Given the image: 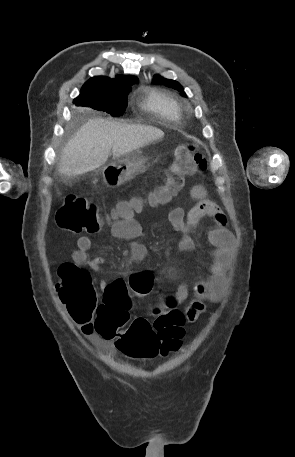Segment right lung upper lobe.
<instances>
[{
    "label": "right lung upper lobe",
    "mask_w": 295,
    "mask_h": 457,
    "mask_svg": "<svg viewBox=\"0 0 295 457\" xmlns=\"http://www.w3.org/2000/svg\"><path fill=\"white\" fill-rule=\"evenodd\" d=\"M137 81L135 76H117L115 79H110L104 76H95L90 78L82 87L86 90H104L114 91L134 84Z\"/></svg>",
    "instance_id": "1"
}]
</instances>
